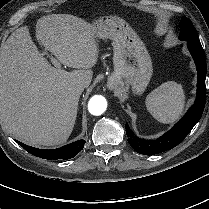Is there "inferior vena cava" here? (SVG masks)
<instances>
[{
    "label": "inferior vena cava",
    "mask_w": 209,
    "mask_h": 209,
    "mask_svg": "<svg viewBox=\"0 0 209 209\" xmlns=\"http://www.w3.org/2000/svg\"><path fill=\"white\" fill-rule=\"evenodd\" d=\"M86 88V86L82 83H79L75 86V90L78 94H81L82 91Z\"/></svg>",
    "instance_id": "1"
}]
</instances>
